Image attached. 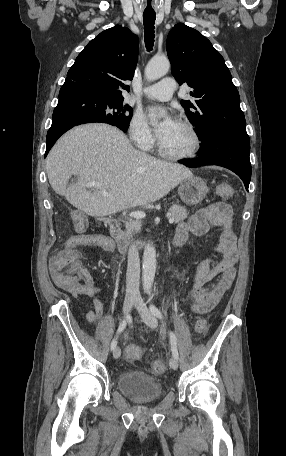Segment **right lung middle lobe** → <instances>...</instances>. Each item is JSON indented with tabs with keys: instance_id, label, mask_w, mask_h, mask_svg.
Masks as SVG:
<instances>
[{
	"instance_id": "right-lung-middle-lobe-1",
	"label": "right lung middle lobe",
	"mask_w": 286,
	"mask_h": 456,
	"mask_svg": "<svg viewBox=\"0 0 286 456\" xmlns=\"http://www.w3.org/2000/svg\"><path fill=\"white\" fill-rule=\"evenodd\" d=\"M91 122H102L120 128L126 132L132 118V108L123 106L122 101L98 98L97 103L91 106Z\"/></svg>"
}]
</instances>
